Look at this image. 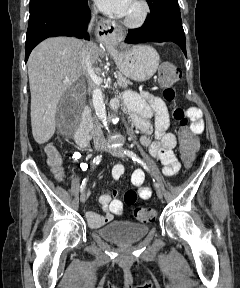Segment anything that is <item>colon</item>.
<instances>
[{
	"mask_svg": "<svg viewBox=\"0 0 240 288\" xmlns=\"http://www.w3.org/2000/svg\"><path fill=\"white\" fill-rule=\"evenodd\" d=\"M180 77L179 70L170 63H163L159 69V81L163 87V96L168 101H174L175 89L174 84ZM173 116L178 121L179 140H180V153L182 160L186 165H190L194 160L198 142L195 134L190 130L187 125V118L185 112L179 108L174 107ZM46 162L51 172L58 178L62 179L64 175L63 160L59 152L52 145L46 147ZM124 201L127 205H133L136 202L137 194L133 190H127L124 193ZM135 217L144 222L154 221L156 212L153 209L138 207L134 210Z\"/></svg>",
	"mask_w": 240,
	"mask_h": 288,
	"instance_id": "colon-1",
	"label": "colon"
}]
</instances>
